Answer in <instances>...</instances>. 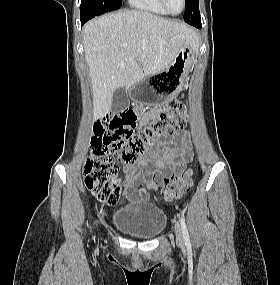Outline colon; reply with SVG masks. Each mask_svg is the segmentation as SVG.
I'll return each mask as SVG.
<instances>
[{"label": "colon", "mask_w": 280, "mask_h": 285, "mask_svg": "<svg viewBox=\"0 0 280 285\" xmlns=\"http://www.w3.org/2000/svg\"><path fill=\"white\" fill-rule=\"evenodd\" d=\"M188 119V107L184 103L162 111L137 130V114L131 108L106 115L94 127L91 156L83 168L87 189L100 201L114 205L120 187L112 158L117 156L125 163H134L158 137L182 129ZM192 183L193 172L181 171L165 183L161 195L165 200L179 198Z\"/></svg>", "instance_id": "1"}]
</instances>
